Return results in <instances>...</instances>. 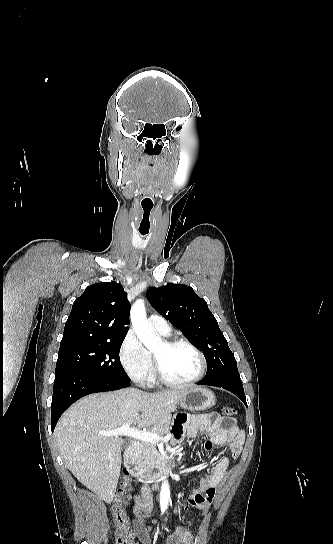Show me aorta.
Wrapping results in <instances>:
<instances>
[{
	"label": "aorta",
	"instance_id": "1",
	"mask_svg": "<svg viewBox=\"0 0 333 544\" xmlns=\"http://www.w3.org/2000/svg\"><path fill=\"white\" fill-rule=\"evenodd\" d=\"M130 318L133 330L143 345L149 350H155L162 346L163 342L155 331L149 328L146 321L145 303L142 299H138L132 305ZM170 489L168 482L164 481L160 490V505L166 508L169 504Z\"/></svg>",
	"mask_w": 333,
	"mask_h": 544
}]
</instances>
